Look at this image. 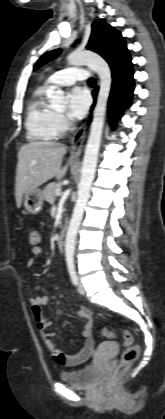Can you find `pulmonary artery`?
<instances>
[{"mask_svg": "<svg viewBox=\"0 0 165 419\" xmlns=\"http://www.w3.org/2000/svg\"><path fill=\"white\" fill-rule=\"evenodd\" d=\"M88 78V73L80 67H70L58 71L48 77L45 84L49 87L69 86L77 81H83Z\"/></svg>", "mask_w": 165, "mask_h": 419, "instance_id": "pulmonary-artery-1", "label": "pulmonary artery"}]
</instances>
